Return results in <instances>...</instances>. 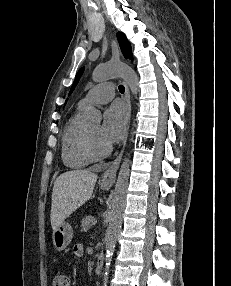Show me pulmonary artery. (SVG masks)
Returning a JSON list of instances; mask_svg holds the SVG:
<instances>
[{"instance_id":"e3ab8cb5","label":"pulmonary artery","mask_w":231,"mask_h":286,"mask_svg":"<svg viewBox=\"0 0 231 286\" xmlns=\"http://www.w3.org/2000/svg\"><path fill=\"white\" fill-rule=\"evenodd\" d=\"M115 89L112 83L104 82L93 87L80 101L79 108H85L90 104H105L114 97Z\"/></svg>"}]
</instances>
